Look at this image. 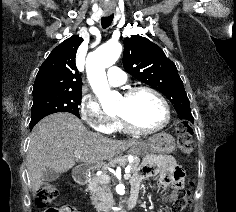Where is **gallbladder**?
Returning a JSON list of instances; mask_svg holds the SVG:
<instances>
[{"mask_svg":"<svg viewBox=\"0 0 236 212\" xmlns=\"http://www.w3.org/2000/svg\"><path fill=\"white\" fill-rule=\"evenodd\" d=\"M60 177V174L55 172L54 170L50 169V168H46L43 171V180L44 181H55L56 179H58Z\"/></svg>","mask_w":236,"mask_h":212,"instance_id":"gallbladder-1","label":"gallbladder"}]
</instances>
